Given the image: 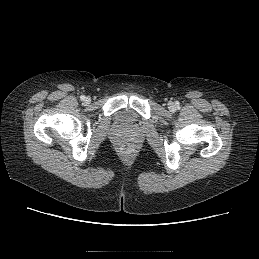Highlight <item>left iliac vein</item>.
<instances>
[{
	"mask_svg": "<svg viewBox=\"0 0 259 259\" xmlns=\"http://www.w3.org/2000/svg\"><path fill=\"white\" fill-rule=\"evenodd\" d=\"M169 109L173 110V109H174V105H173V104H170V105H169Z\"/></svg>",
	"mask_w": 259,
	"mask_h": 259,
	"instance_id": "1",
	"label": "left iliac vein"
}]
</instances>
